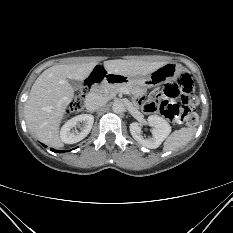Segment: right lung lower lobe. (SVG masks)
<instances>
[{
    "mask_svg": "<svg viewBox=\"0 0 233 233\" xmlns=\"http://www.w3.org/2000/svg\"><path fill=\"white\" fill-rule=\"evenodd\" d=\"M51 151H53V152H64V151H58V150H55V149H51Z\"/></svg>",
    "mask_w": 233,
    "mask_h": 233,
    "instance_id": "right-lung-lower-lobe-1",
    "label": "right lung lower lobe"
}]
</instances>
